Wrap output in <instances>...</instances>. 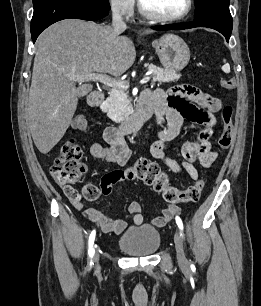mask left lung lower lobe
Returning <instances> with one entry per match:
<instances>
[{
	"mask_svg": "<svg viewBox=\"0 0 261 306\" xmlns=\"http://www.w3.org/2000/svg\"><path fill=\"white\" fill-rule=\"evenodd\" d=\"M195 27H207L212 28L223 34L229 42V38L232 32V21L231 22H215V21H199L195 20L192 22L187 23H177V24H171V25H160L155 26L153 29L156 30H170V29H177V30H183V29H190Z\"/></svg>",
	"mask_w": 261,
	"mask_h": 306,
	"instance_id": "obj_1",
	"label": "left lung lower lobe"
}]
</instances>
